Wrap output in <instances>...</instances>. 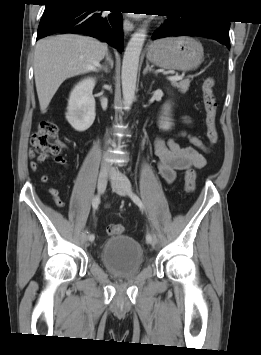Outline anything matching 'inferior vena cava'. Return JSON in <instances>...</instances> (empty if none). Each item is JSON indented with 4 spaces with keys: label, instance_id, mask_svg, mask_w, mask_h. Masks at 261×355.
<instances>
[{
    "label": "inferior vena cava",
    "instance_id": "602c4592",
    "mask_svg": "<svg viewBox=\"0 0 261 355\" xmlns=\"http://www.w3.org/2000/svg\"><path fill=\"white\" fill-rule=\"evenodd\" d=\"M102 168L103 169H109V163L107 161V157L104 156L103 161H102Z\"/></svg>",
    "mask_w": 261,
    "mask_h": 355
}]
</instances>
